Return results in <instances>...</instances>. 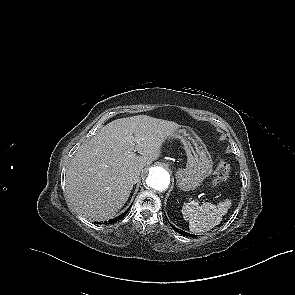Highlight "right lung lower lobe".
<instances>
[{"label": "right lung lower lobe", "instance_id": "1", "mask_svg": "<svg viewBox=\"0 0 295 295\" xmlns=\"http://www.w3.org/2000/svg\"><path fill=\"white\" fill-rule=\"evenodd\" d=\"M129 210V209H128ZM127 210V211H128ZM127 211L125 213H122L120 216H118L116 219H113L112 222H115V221H119L121 220L122 218H124V216L126 215ZM101 224V223H99ZM107 224V223H106Z\"/></svg>", "mask_w": 295, "mask_h": 295}]
</instances>
